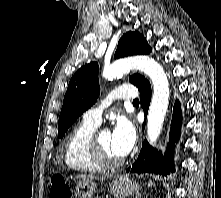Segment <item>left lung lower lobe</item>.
<instances>
[{
	"mask_svg": "<svg viewBox=\"0 0 221 198\" xmlns=\"http://www.w3.org/2000/svg\"><path fill=\"white\" fill-rule=\"evenodd\" d=\"M139 88L141 99L140 103L144 109L145 114L148 112V107L151 100V86L148 81H145ZM181 109L179 102L176 101L173 109V117L170 131V142L167 148L166 156L163 157L160 152L152 148L148 142L144 141L141 152L134 162L132 167L127 169L131 173H155L160 175H167L174 172L175 168L172 162V154L174 143L177 142L180 135L181 128Z\"/></svg>",
	"mask_w": 221,
	"mask_h": 198,
	"instance_id": "1",
	"label": "left lung lower lobe"
}]
</instances>
